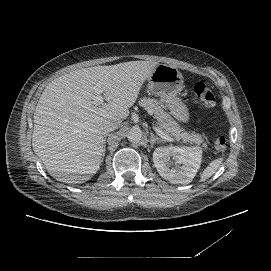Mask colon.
Wrapping results in <instances>:
<instances>
[{
  "mask_svg": "<svg viewBox=\"0 0 271 271\" xmlns=\"http://www.w3.org/2000/svg\"><path fill=\"white\" fill-rule=\"evenodd\" d=\"M193 102L201 109H212L215 105V98L211 89L203 82L194 85L192 91ZM227 141L224 137H218L215 141V147L219 151L225 150Z\"/></svg>",
  "mask_w": 271,
  "mask_h": 271,
  "instance_id": "5ec220e1",
  "label": "colon"
}]
</instances>
